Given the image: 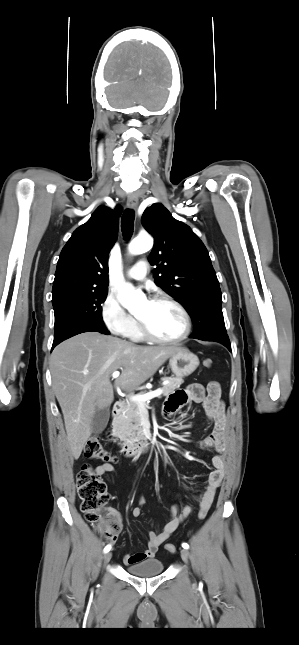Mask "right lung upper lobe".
<instances>
[{"mask_svg": "<svg viewBox=\"0 0 299 645\" xmlns=\"http://www.w3.org/2000/svg\"><path fill=\"white\" fill-rule=\"evenodd\" d=\"M121 211L120 206L114 211L99 206L73 232L57 263L52 299L63 292L108 290V255L117 238Z\"/></svg>", "mask_w": 299, "mask_h": 645, "instance_id": "right-lung-upper-lobe-1", "label": "right lung upper lobe"}]
</instances>
